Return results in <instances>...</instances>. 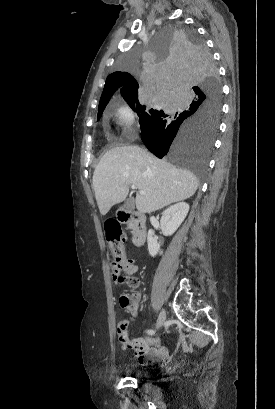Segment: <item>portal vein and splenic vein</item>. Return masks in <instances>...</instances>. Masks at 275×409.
<instances>
[{"label": "portal vein and splenic vein", "instance_id": "1", "mask_svg": "<svg viewBox=\"0 0 275 409\" xmlns=\"http://www.w3.org/2000/svg\"><path fill=\"white\" fill-rule=\"evenodd\" d=\"M131 188H136L135 184H132ZM140 194H145L144 190H139Z\"/></svg>", "mask_w": 275, "mask_h": 409}]
</instances>
